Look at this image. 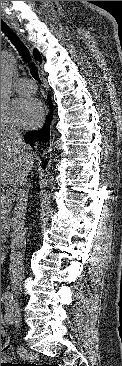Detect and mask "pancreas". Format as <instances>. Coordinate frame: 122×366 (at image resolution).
I'll list each match as a JSON object with an SVG mask.
<instances>
[{
  "instance_id": "cf45deb5",
  "label": "pancreas",
  "mask_w": 122,
  "mask_h": 366,
  "mask_svg": "<svg viewBox=\"0 0 122 366\" xmlns=\"http://www.w3.org/2000/svg\"><path fill=\"white\" fill-rule=\"evenodd\" d=\"M10 203L11 201L9 197L1 201V242H4L6 240V235L9 231L8 214L10 209Z\"/></svg>"
}]
</instances>
